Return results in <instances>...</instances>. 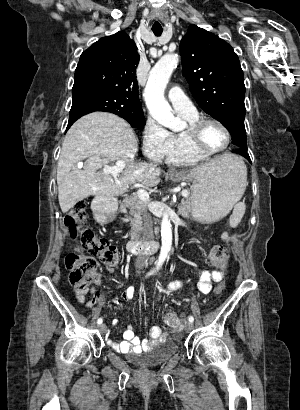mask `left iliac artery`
<instances>
[{
  "label": "left iliac artery",
  "mask_w": 300,
  "mask_h": 410,
  "mask_svg": "<svg viewBox=\"0 0 300 410\" xmlns=\"http://www.w3.org/2000/svg\"><path fill=\"white\" fill-rule=\"evenodd\" d=\"M188 320H189V322H193L194 321L193 316H189Z\"/></svg>",
  "instance_id": "44dca946"
}]
</instances>
